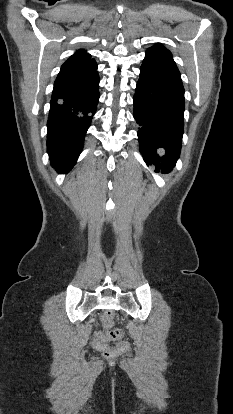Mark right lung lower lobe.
Returning <instances> with one entry per match:
<instances>
[{
  "mask_svg": "<svg viewBox=\"0 0 233 414\" xmlns=\"http://www.w3.org/2000/svg\"><path fill=\"white\" fill-rule=\"evenodd\" d=\"M99 99L97 66L78 73L58 74L47 122V151L51 165L68 172L76 163Z\"/></svg>",
  "mask_w": 233,
  "mask_h": 414,
  "instance_id": "obj_1",
  "label": "right lung lower lobe"
}]
</instances>
